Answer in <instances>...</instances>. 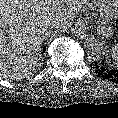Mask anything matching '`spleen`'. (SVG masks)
<instances>
[{
	"mask_svg": "<svg viewBox=\"0 0 118 118\" xmlns=\"http://www.w3.org/2000/svg\"><path fill=\"white\" fill-rule=\"evenodd\" d=\"M111 54L116 66L118 67V44L111 47Z\"/></svg>",
	"mask_w": 118,
	"mask_h": 118,
	"instance_id": "obj_1",
	"label": "spleen"
}]
</instances>
